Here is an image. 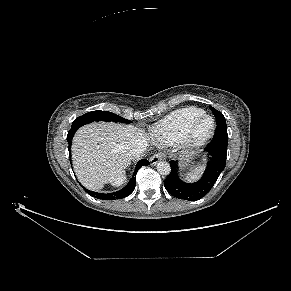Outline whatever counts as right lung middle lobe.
Returning <instances> with one entry per match:
<instances>
[{"label": "right lung middle lobe", "mask_w": 291, "mask_h": 291, "mask_svg": "<svg viewBox=\"0 0 291 291\" xmlns=\"http://www.w3.org/2000/svg\"><path fill=\"white\" fill-rule=\"evenodd\" d=\"M94 121H112V122H122V123H131L130 120L124 119L119 115H116L108 111H92L88 112L74 120L72 124L79 126L94 122Z\"/></svg>", "instance_id": "dd1d6c3e"}]
</instances>
